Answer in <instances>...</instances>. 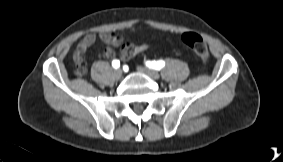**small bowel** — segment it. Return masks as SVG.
Listing matches in <instances>:
<instances>
[{
  "label": "small bowel",
  "mask_w": 283,
  "mask_h": 162,
  "mask_svg": "<svg viewBox=\"0 0 283 162\" xmlns=\"http://www.w3.org/2000/svg\"><path fill=\"white\" fill-rule=\"evenodd\" d=\"M98 41H101L108 45V47L102 53V57L107 59L114 57L115 52L113 50V47L121 46L120 57L122 60H127L137 55L138 53L146 51L152 47L151 44L136 46L132 43L126 42L121 35H116L113 33L103 32L100 34H87L78 43L73 55L75 61L83 62L84 72L86 70V65L83 60V55L93 44Z\"/></svg>",
  "instance_id": "c3829d8e"
}]
</instances>
